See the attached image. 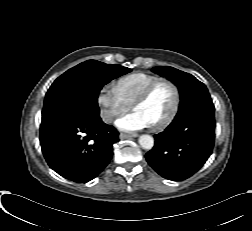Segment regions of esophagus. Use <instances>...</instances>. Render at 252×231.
Here are the masks:
<instances>
[{"label":"esophagus","instance_id":"obj_1","mask_svg":"<svg viewBox=\"0 0 252 231\" xmlns=\"http://www.w3.org/2000/svg\"><path fill=\"white\" fill-rule=\"evenodd\" d=\"M132 137H136V135H131V134H126V133H120L119 134V138L120 139H129V138H132Z\"/></svg>","mask_w":252,"mask_h":231}]
</instances>
